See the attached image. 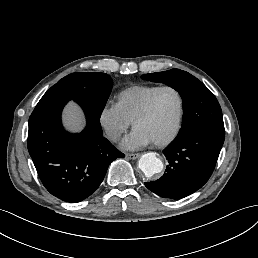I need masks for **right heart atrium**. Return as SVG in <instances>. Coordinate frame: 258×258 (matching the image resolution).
<instances>
[{"mask_svg":"<svg viewBox=\"0 0 258 258\" xmlns=\"http://www.w3.org/2000/svg\"><path fill=\"white\" fill-rule=\"evenodd\" d=\"M99 123L103 131L112 139L118 138L130 126L115 104L103 107L99 115Z\"/></svg>","mask_w":258,"mask_h":258,"instance_id":"1","label":"right heart atrium"}]
</instances>
